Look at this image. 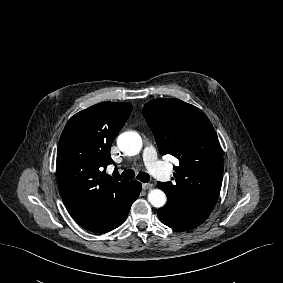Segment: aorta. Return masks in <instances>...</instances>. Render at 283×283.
Masks as SVG:
<instances>
[{"label":"aorta","instance_id":"aorta-1","mask_svg":"<svg viewBox=\"0 0 283 283\" xmlns=\"http://www.w3.org/2000/svg\"><path fill=\"white\" fill-rule=\"evenodd\" d=\"M119 149L128 156L137 155L142 148V139L138 133L127 131L117 139ZM148 201L156 208L163 207L167 201L166 194L160 189H153L148 194Z\"/></svg>","mask_w":283,"mask_h":283}]
</instances>
